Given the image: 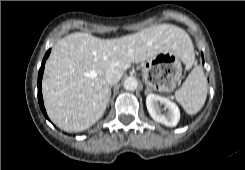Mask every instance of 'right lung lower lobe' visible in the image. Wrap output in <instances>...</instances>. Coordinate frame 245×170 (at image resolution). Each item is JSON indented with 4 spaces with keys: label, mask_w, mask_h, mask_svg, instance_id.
I'll list each match as a JSON object with an SVG mask.
<instances>
[{
    "label": "right lung lower lobe",
    "mask_w": 245,
    "mask_h": 170,
    "mask_svg": "<svg viewBox=\"0 0 245 170\" xmlns=\"http://www.w3.org/2000/svg\"><path fill=\"white\" fill-rule=\"evenodd\" d=\"M51 50H48L44 56V59L42 61V65L41 68L39 70V75H38V101H39V105L41 108L42 113L44 114V116L48 119L45 108H44V104H43V98H42V91H41V82H42V76H43V72H44V65L46 62V59L48 58L49 54H50Z\"/></svg>",
    "instance_id": "right-lung-lower-lobe-1"
}]
</instances>
